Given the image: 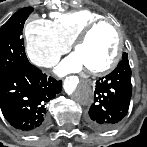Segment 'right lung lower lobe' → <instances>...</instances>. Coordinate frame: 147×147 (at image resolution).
<instances>
[{
  "label": "right lung lower lobe",
  "mask_w": 147,
  "mask_h": 147,
  "mask_svg": "<svg viewBox=\"0 0 147 147\" xmlns=\"http://www.w3.org/2000/svg\"><path fill=\"white\" fill-rule=\"evenodd\" d=\"M62 89V82L47 78L34 65L19 67L0 77V108L16 129L36 134L48 124V102Z\"/></svg>",
  "instance_id": "right-lung-lower-lobe-1"
}]
</instances>
